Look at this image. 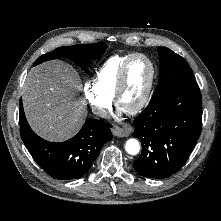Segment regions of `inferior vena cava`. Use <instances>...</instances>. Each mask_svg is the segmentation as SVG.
I'll list each match as a JSON object with an SVG mask.
<instances>
[{
    "mask_svg": "<svg viewBox=\"0 0 221 221\" xmlns=\"http://www.w3.org/2000/svg\"><path fill=\"white\" fill-rule=\"evenodd\" d=\"M94 114L98 115L99 117L105 118L107 117V111L103 108H96L94 110Z\"/></svg>",
    "mask_w": 221,
    "mask_h": 221,
    "instance_id": "inferior-vena-cava-1",
    "label": "inferior vena cava"
}]
</instances>
